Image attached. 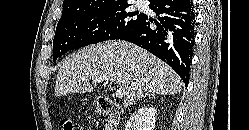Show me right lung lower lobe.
Segmentation results:
<instances>
[{"instance_id":"right-lung-lower-lobe-1","label":"right lung lower lobe","mask_w":249,"mask_h":130,"mask_svg":"<svg viewBox=\"0 0 249 130\" xmlns=\"http://www.w3.org/2000/svg\"><path fill=\"white\" fill-rule=\"evenodd\" d=\"M149 7L160 15L157 20L143 15L140 21L119 37L151 52L189 82L194 45L195 12L191 0H150ZM155 23L156 28H151Z\"/></svg>"}]
</instances>
